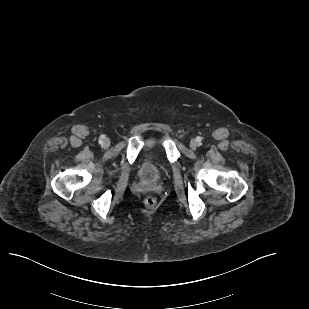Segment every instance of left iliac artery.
Here are the masks:
<instances>
[{"instance_id": "1", "label": "left iliac artery", "mask_w": 309, "mask_h": 309, "mask_svg": "<svg viewBox=\"0 0 309 309\" xmlns=\"http://www.w3.org/2000/svg\"><path fill=\"white\" fill-rule=\"evenodd\" d=\"M196 140H197V142H199V143H200V142H201V140H202V138H201V137H197V138H196Z\"/></svg>"}]
</instances>
